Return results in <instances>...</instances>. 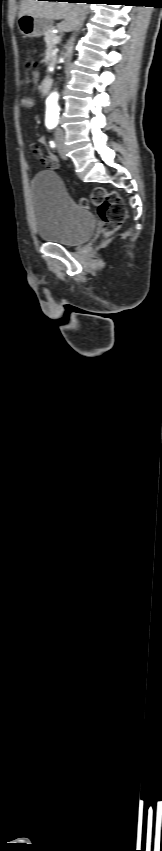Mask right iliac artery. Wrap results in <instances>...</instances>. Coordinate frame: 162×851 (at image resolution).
Segmentation results:
<instances>
[{
    "label": "right iliac artery",
    "mask_w": 162,
    "mask_h": 851,
    "mask_svg": "<svg viewBox=\"0 0 162 851\" xmlns=\"http://www.w3.org/2000/svg\"><path fill=\"white\" fill-rule=\"evenodd\" d=\"M47 127H48L49 129H52V128L54 127V125H52V124H47Z\"/></svg>",
    "instance_id": "82829eb1"
}]
</instances>
